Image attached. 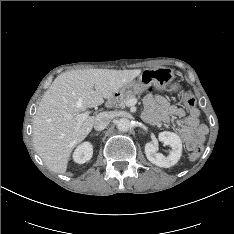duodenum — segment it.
<instances>
[{
    "label": "duodenum",
    "instance_id": "duodenum-1",
    "mask_svg": "<svg viewBox=\"0 0 234 234\" xmlns=\"http://www.w3.org/2000/svg\"><path fill=\"white\" fill-rule=\"evenodd\" d=\"M114 100H115V97L112 98V99L109 101V103H112Z\"/></svg>",
    "mask_w": 234,
    "mask_h": 234
}]
</instances>
